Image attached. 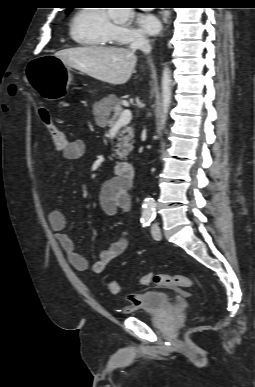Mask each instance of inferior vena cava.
I'll return each instance as SVG.
<instances>
[{"mask_svg": "<svg viewBox=\"0 0 255 387\" xmlns=\"http://www.w3.org/2000/svg\"><path fill=\"white\" fill-rule=\"evenodd\" d=\"M130 48L133 51H135L136 49H140L145 54H149L151 52L149 40L144 36L135 37V39L130 45Z\"/></svg>", "mask_w": 255, "mask_h": 387, "instance_id": "obj_1", "label": "inferior vena cava"}]
</instances>
